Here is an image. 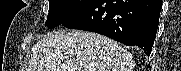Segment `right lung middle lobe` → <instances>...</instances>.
Instances as JSON below:
<instances>
[{
  "label": "right lung middle lobe",
  "mask_w": 181,
  "mask_h": 71,
  "mask_svg": "<svg viewBox=\"0 0 181 71\" xmlns=\"http://www.w3.org/2000/svg\"><path fill=\"white\" fill-rule=\"evenodd\" d=\"M94 0H49V13L45 23L48 28L61 25Z\"/></svg>",
  "instance_id": "right-lung-middle-lobe-1"
}]
</instances>
